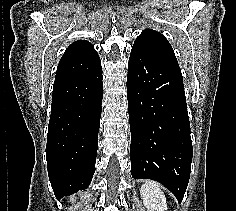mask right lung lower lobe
<instances>
[{"label":"right lung lower lobe","mask_w":236,"mask_h":211,"mask_svg":"<svg viewBox=\"0 0 236 211\" xmlns=\"http://www.w3.org/2000/svg\"><path fill=\"white\" fill-rule=\"evenodd\" d=\"M102 68L54 83L46 159L56 198L86 189L95 172L100 126Z\"/></svg>","instance_id":"right-lung-lower-lobe-1"}]
</instances>
